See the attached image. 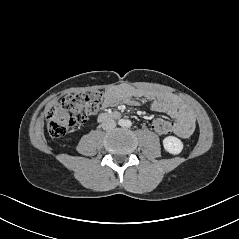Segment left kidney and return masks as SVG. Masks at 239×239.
<instances>
[{"label": "left kidney", "mask_w": 239, "mask_h": 239, "mask_svg": "<svg viewBox=\"0 0 239 239\" xmlns=\"http://www.w3.org/2000/svg\"><path fill=\"white\" fill-rule=\"evenodd\" d=\"M163 146L170 154H179L183 149V143L180 139L174 136H168L163 140Z\"/></svg>", "instance_id": "5707ae66"}]
</instances>
